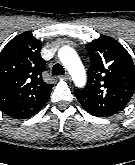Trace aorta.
Returning <instances> with one entry per match:
<instances>
[{
    "instance_id": "obj_1",
    "label": "aorta",
    "mask_w": 135,
    "mask_h": 165,
    "mask_svg": "<svg viewBox=\"0 0 135 165\" xmlns=\"http://www.w3.org/2000/svg\"><path fill=\"white\" fill-rule=\"evenodd\" d=\"M58 56L71 74L76 86L83 87L86 82V74L76 51L69 46H64L59 50Z\"/></svg>"
}]
</instances>
